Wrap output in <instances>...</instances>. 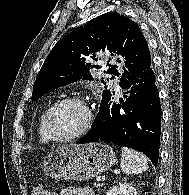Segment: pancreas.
Instances as JSON below:
<instances>
[{
  "label": "pancreas",
  "instance_id": "obj_1",
  "mask_svg": "<svg viewBox=\"0 0 189 195\" xmlns=\"http://www.w3.org/2000/svg\"><path fill=\"white\" fill-rule=\"evenodd\" d=\"M95 187L96 188H99V187H101V185L100 184H96Z\"/></svg>",
  "mask_w": 189,
  "mask_h": 195
}]
</instances>
